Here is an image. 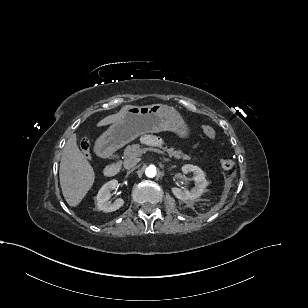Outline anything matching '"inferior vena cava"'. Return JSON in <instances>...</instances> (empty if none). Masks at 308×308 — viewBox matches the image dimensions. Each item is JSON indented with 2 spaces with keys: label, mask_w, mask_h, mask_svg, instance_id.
<instances>
[{
  "label": "inferior vena cava",
  "mask_w": 308,
  "mask_h": 308,
  "mask_svg": "<svg viewBox=\"0 0 308 308\" xmlns=\"http://www.w3.org/2000/svg\"><path fill=\"white\" fill-rule=\"evenodd\" d=\"M127 172H128V174L131 175V174H133L134 170H133V168L130 167V168L127 169Z\"/></svg>",
  "instance_id": "obj_1"
}]
</instances>
